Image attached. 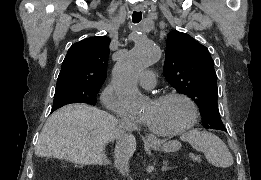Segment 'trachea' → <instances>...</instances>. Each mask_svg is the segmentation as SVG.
<instances>
[{"label": "trachea", "instance_id": "trachea-1", "mask_svg": "<svg viewBox=\"0 0 261 180\" xmlns=\"http://www.w3.org/2000/svg\"><path fill=\"white\" fill-rule=\"evenodd\" d=\"M141 18H142L141 12H133V15H132L133 23H139L141 21Z\"/></svg>", "mask_w": 261, "mask_h": 180}]
</instances>
